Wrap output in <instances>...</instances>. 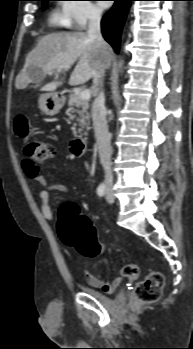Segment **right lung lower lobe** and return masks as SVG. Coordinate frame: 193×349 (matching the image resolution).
Here are the masks:
<instances>
[{
	"mask_svg": "<svg viewBox=\"0 0 193 349\" xmlns=\"http://www.w3.org/2000/svg\"><path fill=\"white\" fill-rule=\"evenodd\" d=\"M114 6L106 13L102 19V34L107 42L119 52L121 30L133 0H114Z\"/></svg>",
	"mask_w": 193,
	"mask_h": 349,
	"instance_id": "1",
	"label": "right lung lower lobe"
}]
</instances>
